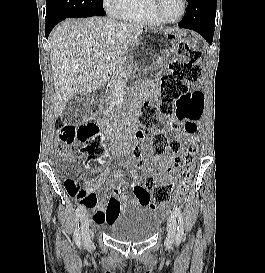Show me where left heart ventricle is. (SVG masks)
<instances>
[{"label":"left heart ventricle","mask_w":265,"mask_h":273,"mask_svg":"<svg viewBox=\"0 0 265 273\" xmlns=\"http://www.w3.org/2000/svg\"><path fill=\"white\" fill-rule=\"evenodd\" d=\"M159 10L167 19H176L182 12V0H160Z\"/></svg>","instance_id":"obj_1"}]
</instances>
